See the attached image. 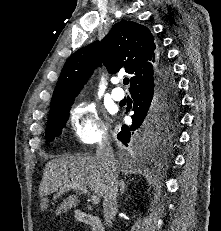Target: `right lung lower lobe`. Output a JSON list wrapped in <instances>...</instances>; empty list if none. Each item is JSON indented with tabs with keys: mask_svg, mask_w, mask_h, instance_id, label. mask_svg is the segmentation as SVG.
<instances>
[{
	"mask_svg": "<svg viewBox=\"0 0 221 231\" xmlns=\"http://www.w3.org/2000/svg\"><path fill=\"white\" fill-rule=\"evenodd\" d=\"M130 93L134 101L133 122L130 126H122L121 131L118 133V139L127 147H132L133 145L139 153L145 156H153L160 146L156 143H150L141 129L152 107L160 97L179 98L172 68L162 52L158 58V75L154 82L147 86L136 88Z\"/></svg>",
	"mask_w": 221,
	"mask_h": 231,
	"instance_id": "1",
	"label": "right lung lower lobe"
}]
</instances>
